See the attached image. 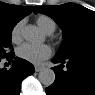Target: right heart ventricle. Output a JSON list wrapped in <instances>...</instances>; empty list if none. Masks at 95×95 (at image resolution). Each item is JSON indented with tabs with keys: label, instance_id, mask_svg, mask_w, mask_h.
I'll return each instance as SVG.
<instances>
[{
	"label": "right heart ventricle",
	"instance_id": "obj_1",
	"mask_svg": "<svg viewBox=\"0 0 95 95\" xmlns=\"http://www.w3.org/2000/svg\"><path fill=\"white\" fill-rule=\"evenodd\" d=\"M36 23L39 28L47 34L53 33L56 29V22L46 15H40L36 19Z\"/></svg>",
	"mask_w": 95,
	"mask_h": 95
}]
</instances>
